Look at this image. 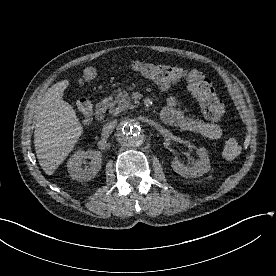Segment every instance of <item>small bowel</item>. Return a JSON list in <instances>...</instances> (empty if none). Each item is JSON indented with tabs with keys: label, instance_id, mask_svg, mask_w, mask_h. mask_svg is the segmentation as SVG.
<instances>
[{
	"label": "small bowel",
	"instance_id": "c3829d8e",
	"mask_svg": "<svg viewBox=\"0 0 276 276\" xmlns=\"http://www.w3.org/2000/svg\"><path fill=\"white\" fill-rule=\"evenodd\" d=\"M161 118L170 126L200 134L208 139L215 140L222 136V128L218 124L184 114L178 106V101L173 97L168 99L166 107L161 112Z\"/></svg>",
	"mask_w": 276,
	"mask_h": 276
}]
</instances>
